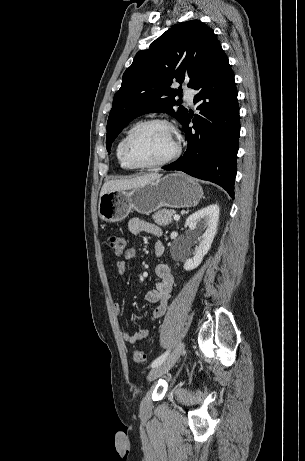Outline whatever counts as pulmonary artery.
Here are the masks:
<instances>
[{"label": "pulmonary artery", "instance_id": "obj_1", "mask_svg": "<svg viewBox=\"0 0 305 461\" xmlns=\"http://www.w3.org/2000/svg\"><path fill=\"white\" fill-rule=\"evenodd\" d=\"M194 96H195V91L191 88H186L184 90V97L186 99V101L189 103V104H192L193 103V100H194Z\"/></svg>", "mask_w": 305, "mask_h": 461}]
</instances>
